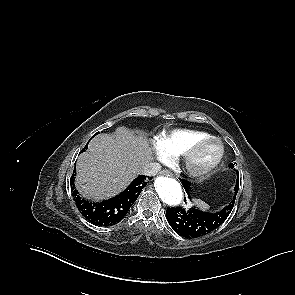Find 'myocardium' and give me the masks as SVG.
<instances>
[{
    "instance_id": "f54148a6",
    "label": "myocardium",
    "mask_w": 295,
    "mask_h": 295,
    "mask_svg": "<svg viewBox=\"0 0 295 295\" xmlns=\"http://www.w3.org/2000/svg\"><path fill=\"white\" fill-rule=\"evenodd\" d=\"M213 143L217 146V154L210 163L198 167L195 165V157L202 147ZM225 153L223 143L216 137L209 136L194 142L183 154V163L187 173L193 177L204 178L212 174L221 163Z\"/></svg>"
}]
</instances>
